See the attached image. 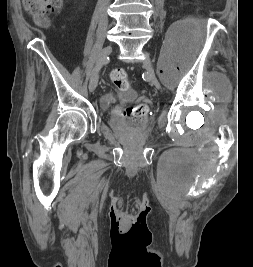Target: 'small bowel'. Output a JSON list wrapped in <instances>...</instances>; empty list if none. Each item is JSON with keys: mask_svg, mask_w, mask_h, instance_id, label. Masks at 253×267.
Segmentation results:
<instances>
[{"mask_svg": "<svg viewBox=\"0 0 253 267\" xmlns=\"http://www.w3.org/2000/svg\"><path fill=\"white\" fill-rule=\"evenodd\" d=\"M33 20H34V23L37 26H39V27H41L43 29H49L51 27V21L46 16H43V17H37V16H35L33 18Z\"/></svg>", "mask_w": 253, "mask_h": 267, "instance_id": "c3829d8e", "label": "small bowel"}]
</instances>
